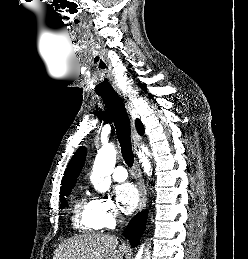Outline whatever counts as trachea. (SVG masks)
Listing matches in <instances>:
<instances>
[{"instance_id":"trachea-1","label":"trachea","mask_w":248,"mask_h":259,"mask_svg":"<svg viewBox=\"0 0 248 259\" xmlns=\"http://www.w3.org/2000/svg\"><path fill=\"white\" fill-rule=\"evenodd\" d=\"M105 102V105L115 124L117 138L121 146L122 156L126 164L133 165V152L131 145L130 121L122 99L115 91L98 94Z\"/></svg>"}]
</instances>
